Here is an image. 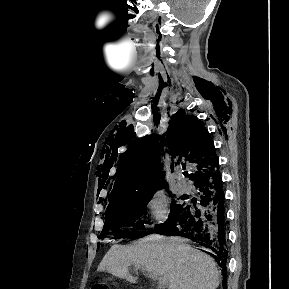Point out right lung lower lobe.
I'll return each mask as SVG.
<instances>
[{
	"label": "right lung lower lobe",
	"mask_w": 289,
	"mask_h": 289,
	"mask_svg": "<svg viewBox=\"0 0 289 289\" xmlns=\"http://www.w3.org/2000/svg\"><path fill=\"white\" fill-rule=\"evenodd\" d=\"M198 199L192 204H182L161 225L149 233L183 236L192 239L203 248L222 268L223 289L227 283V230L222 179L217 169L194 182Z\"/></svg>",
	"instance_id": "1"
}]
</instances>
